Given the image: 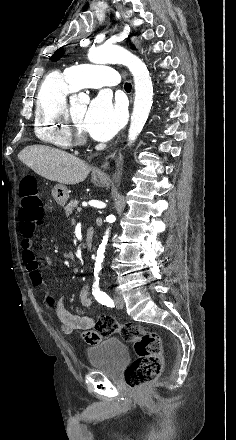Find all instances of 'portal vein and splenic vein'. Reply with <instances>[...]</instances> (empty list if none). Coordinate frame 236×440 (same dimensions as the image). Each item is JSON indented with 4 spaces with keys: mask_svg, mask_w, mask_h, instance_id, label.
I'll return each instance as SVG.
<instances>
[{
    "mask_svg": "<svg viewBox=\"0 0 236 440\" xmlns=\"http://www.w3.org/2000/svg\"><path fill=\"white\" fill-rule=\"evenodd\" d=\"M81 210H82V208H80V207H79V208H77V211H78V212H81Z\"/></svg>",
    "mask_w": 236,
    "mask_h": 440,
    "instance_id": "portal-vein-and-splenic-vein-1",
    "label": "portal vein and splenic vein"
}]
</instances>
